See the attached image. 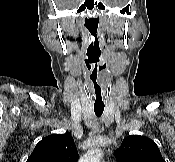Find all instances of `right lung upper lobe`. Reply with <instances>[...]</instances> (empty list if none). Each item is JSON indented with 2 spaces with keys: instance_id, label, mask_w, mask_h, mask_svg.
Wrapping results in <instances>:
<instances>
[{
  "instance_id": "1",
  "label": "right lung upper lobe",
  "mask_w": 175,
  "mask_h": 162,
  "mask_svg": "<svg viewBox=\"0 0 175 162\" xmlns=\"http://www.w3.org/2000/svg\"><path fill=\"white\" fill-rule=\"evenodd\" d=\"M78 151L72 136L52 134L35 146L27 162H77Z\"/></svg>"
}]
</instances>
